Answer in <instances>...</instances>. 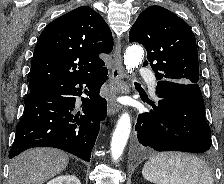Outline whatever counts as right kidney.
Segmentation results:
<instances>
[{
	"label": "right kidney",
	"instance_id": "ca27d5eb",
	"mask_svg": "<svg viewBox=\"0 0 224 184\" xmlns=\"http://www.w3.org/2000/svg\"><path fill=\"white\" fill-rule=\"evenodd\" d=\"M47 184H81V182L73 175H64L52 179Z\"/></svg>",
	"mask_w": 224,
	"mask_h": 184
}]
</instances>
